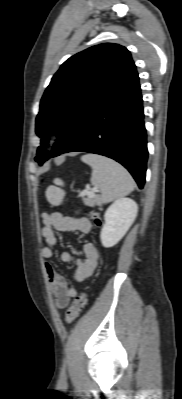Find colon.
<instances>
[{"instance_id":"colon-1","label":"colon","mask_w":182,"mask_h":399,"mask_svg":"<svg viewBox=\"0 0 182 399\" xmlns=\"http://www.w3.org/2000/svg\"><path fill=\"white\" fill-rule=\"evenodd\" d=\"M90 218L97 224H101V219L96 213H90ZM87 303V294L86 292H81L79 295L76 296L74 301L72 302L71 306L68 308L65 320L67 323L73 322L75 319L78 318L81 311L85 307Z\"/></svg>"}]
</instances>
